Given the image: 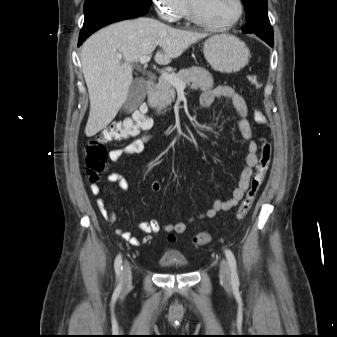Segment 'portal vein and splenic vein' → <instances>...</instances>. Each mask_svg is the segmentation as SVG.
Listing matches in <instances>:
<instances>
[{
  "label": "portal vein and splenic vein",
  "instance_id": "18ae733b",
  "mask_svg": "<svg viewBox=\"0 0 337 337\" xmlns=\"http://www.w3.org/2000/svg\"><path fill=\"white\" fill-rule=\"evenodd\" d=\"M139 61L141 64H147L150 61V56L149 55L142 56L140 57ZM161 76L165 78L168 82H170L178 92L184 91L186 85L172 74L165 71H161Z\"/></svg>",
  "mask_w": 337,
  "mask_h": 337
}]
</instances>
